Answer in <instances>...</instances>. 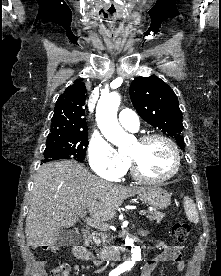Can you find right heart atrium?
<instances>
[{"instance_id":"right-heart-atrium-1","label":"right heart atrium","mask_w":221,"mask_h":276,"mask_svg":"<svg viewBox=\"0 0 221 276\" xmlns=\"http://www.w3.org/2000/svg\"><path fill=\"white\" fill-rule=\"evenodd\" d=\"M88 162L93 172L111 181L119 180L129 164L128 159L101 136H95L90 140Z\"/></svg>"}]
</instances>
